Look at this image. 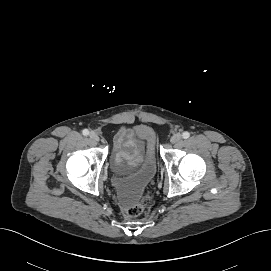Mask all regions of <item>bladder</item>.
Listing matches in <instances>:
<instances>
[{
	"instance_id": "obj_1",
	"label": "bladder",
	"mask_w": 271,
	"mask_h": 271,
	"mask_svg": "<svg viewBox=\"0 0 271 271\" xmlns=\"http://www.w3.org/2000/svg\"><path fill=\"white\" fill-rule=\"evenodd\" d=\"M156 171V155L153 140L150 139L142 162L134 170L124 177H121L114 171L112 187L118 200L124 205L136 202L141 197L145 188L153 181Z\"/></svg>"
}]
</instances>
